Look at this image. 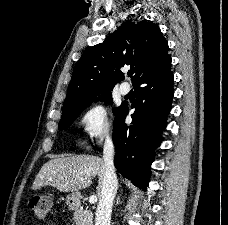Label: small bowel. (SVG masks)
I'll list each match as a JSON object with an SVG mask.
<instances>
[{"label":"small bowel","mask_w":228,"mask_h":225,"mask_svg":"<svg viewBox=\"0 0 228 225\" xmlns=\"http://www.w3.org/2000/svg\"><path fill=\"white\" fill-rule=\"evenodd\" d=\"M49 225H56V223L53 222V221H51V222L49 223Z\"/></svg>","instance_id":"obj_1"}]
</instances>
